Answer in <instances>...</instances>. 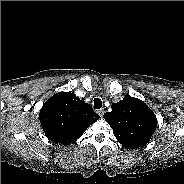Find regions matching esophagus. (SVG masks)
<instances>
[{"mask_svg":"<svg viewBox=\"0 0 184 184\" xmlns=\"http://www.w3.org/2000/svg\"><path fill=\"white\" fill-rule=\"evenodd\" d=\"M97 113L100 117H103V114H104V110L103 109H99L97 110Z\"/></svg>","mask_w":184,"mask_h":184,"instance_id":"esophagus-1","label":"esophagus"}]
</instances>
